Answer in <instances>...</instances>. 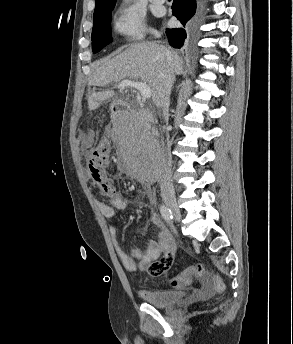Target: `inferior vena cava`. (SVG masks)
I'll use <instances>...</instances> for the list:
<instances>
[{"mask_svg":"<svg viewBox=\"0 0 293 344\" xmlns=\"http://www.w3.org/2000/svg\"><path fill=\"white\" fill-rule=\"evenodd\" d=\"M160 37V35H157ZM166 57L168 64L164 69L163 74V84L159 90L158 100L156 101V106L161 108L163 117L166 122H168L169 118V103H170V94L171 88L174 82V73L172 67L170 65L172 61V53L167 50ZM161 149L165 158V164L163 167L161 179H160V188H161V196L163 198H174L175 192L173 185L171 183V167H172V157H171V146L169 143V135L167 134V143L165 144L161 141Z\"/></svg>","mask_w":293,"mask_h":344,"instance_id":"602c4592","label":"inferior vena cava"}]
</instances>
